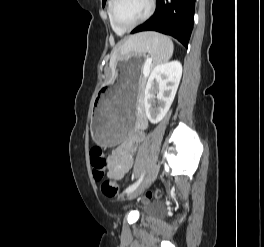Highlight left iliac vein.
Returning a JSON list of instances; mask_svg holds the SVG:
<instances>
[{"label":"left iliac vein","mask_w":264,"mask_h":247,"mask_svg":"<svg viewBox=\"0 0 264 247\" xmlns=\"http://www.w3.org/2000/svg\"><path fill=\"white\" fill-rule=\"evenodd\" d=\"M158 172H159V165L155 164L150 169L149 173L147 174V176L144 179V181L142 182V184L137 189H135L133 192H131L128 195V199L136 198L138 195L143 193L152 184V182L156 179Z\"/></svg>","instance_id":"1"}]
</instances>
